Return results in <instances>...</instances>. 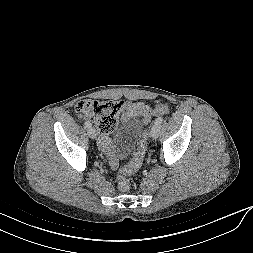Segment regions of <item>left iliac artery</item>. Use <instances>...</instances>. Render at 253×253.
Instances as JSON below:
<instances>
[{"instance_id":"44dca946","label":"left iliac artery","mask_w":253,"mask_h":253,"mask_svg":"<svg viewBox=\"0 0 253 253\" xmlns=\"http://www.w3.org/2000/svg\"><path fill=\"white\" fill-rule=\"evenodd\" d=\"M163 122V118L159 117L155 120V124L160 125Z\"/></svg>"}]
</instances>
